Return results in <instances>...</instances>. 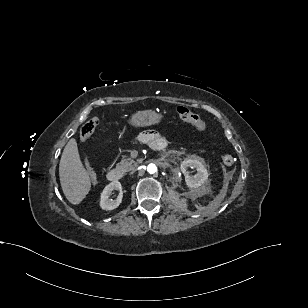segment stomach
I'll list each match as a JSON object with an SVG mask.
<instances>
[{
	"label": "stomach",
	"mask_w": 308,
	"mask_h": 308,
	"mask_svg": "<svg viewBox=\"0 0 308 308\" xmlns=\"http://www.w3.org/2000/svg\"><path fill=\"white\" fill-rule=\"evenodd\" d=\"M162 115L153 110H140L131 115L128 120L133 127H147L160 123Z\"/></svg>",
	"instance_id": "1"
}]
</instances>
